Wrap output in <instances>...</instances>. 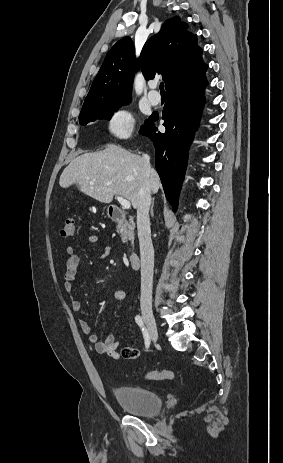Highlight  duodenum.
I'll return each instance as SVG.
<instances>
[{
	"label": "duodenum",
	"mask_w": 283,
	"mask_h": 463,
	"mask_svg": "<svg viewBox=\"0 0 283 463\" xmlns=\"http://www.w3.org/2000/svg\"><path fill=\"white\" fill-rule=\"evenodd\" d=\"M109 215L113 221L123 222L126 219V215L122 209L112 205L109 207ZM129 263L133 269H137L140 264V257L138 254H131L129 256Z\"/></svg>",
	"instance_id": "duodenum-1"
}]
</instances>
